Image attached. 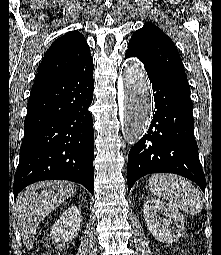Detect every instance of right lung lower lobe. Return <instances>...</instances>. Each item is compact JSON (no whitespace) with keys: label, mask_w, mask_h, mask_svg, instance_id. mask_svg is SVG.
<instances>
[{"label":"right lung lower lobe","mask_w":221,"mask_h":255,"mask_svg":"<svg viewBox=\"0 0 221 255\" xmlns=\"http://www.w3.org/2000/svg\"><path fill=\"white\" fill-rule=\"evenodd\" d=\"M93 59L32 86L24 139L15 173L14 197L37 181L70 180L94 191Z\"/></svg>","instance_id":"1"}]
</instances>
